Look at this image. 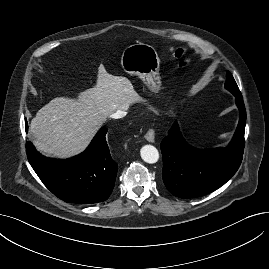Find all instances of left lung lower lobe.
Masks as SVG:
<instances>
[{"label": "left lung lower lobe", "mask_w": 269, "mask_h": 269, "mask_svg": "<svg viewBox=\"0 0 269 269\" xmlns=\"http://www.w3.org/2000/svg\"><path fill=\"white\" fill-rule=\"evenodd\" d=\"M233 95L240 115L228 147L196 149L184 140L177 122L162 140L163 181L173 195L186 199L206 195L225 184L238 170L245 146L246 110L241 93Z\"/></svg>", "instance_id": "left-lung-lower-lobe-1"}]
</instances>
